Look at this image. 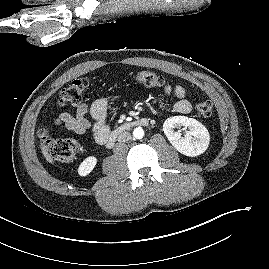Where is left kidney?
Segmentation results:
<instances>
[{"mask_svg": "<svg viewBox=\"0 0 269 269\" xmlns=\"http://www.w3.org/2000/svg\"><path fill=\"white\" fill-rule=\"evenodd\" d=\"M176 127L188 130L186 135L182 136L180 131H174ZM163 131L174 148L189 157L203 154L210 142V135L206 127L196 119L186 116L167 118L163 124Z\"/></svg>", "mask_w": 269, "mask_h": 269, "instance_id": "left-kidney-1", "label": "left kidney"}]
</instances>
